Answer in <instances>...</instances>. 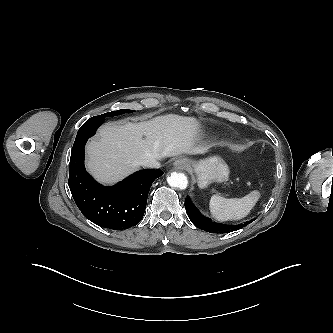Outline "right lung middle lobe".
<instances>
[{"label": "right lung middle lobe", "mask_w": 333, "mask_h": 333, "mask_svg": "<svg viewBox=\"0 0 333 333\" xmlns=\"http://www.w3.org/2000/svg\"><path fill=\"white\" fill-rule=\"evenodd\" d=\"M127 112H133V110L121 109V110H117V111H112V112H109V113H105V114H102L100 116H102V117H111V116H117V115H120V114H123V113H127Z\"/></svg>", "instance_id": "right-lung-middle-lobe-1"}]
</instances>
